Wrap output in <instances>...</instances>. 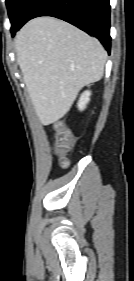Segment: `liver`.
Wrapping results in <instances>:
<instances>
[{"label":"liver","instance_id":"liver-1","mask_svg":"<svg viewBox=\"0 0 134 281\" xmlns=\"http://www.w3.org/2000/svg\"><path fill=\"white\" fill-rule=\"evenodd\" d=\"M15 49L23 80L43 125L61 119L78 92L101 79L107 58L96 38L52 17L26 23L16 35Z\"/></svg>","mask_w":134,"mask_h":281}]
</instances>
